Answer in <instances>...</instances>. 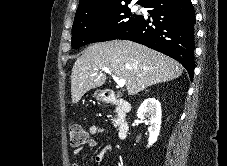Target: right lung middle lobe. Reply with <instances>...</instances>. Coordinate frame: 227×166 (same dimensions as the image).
I'll return each mask as SVG.
<instances>
[{
	"label": "right lung middle lobe",
	"mask_w": 227,
	"mask_h": 166,
	"mask_svg": "<svg viewBox=\"0 0 227 166\" xmlns=\"http://www.w3.org/2000/svg\"><path fill=\"white\" fill-rule=\"evenodd\" d=\"M127 5L76 13L72 27V47L78 49L89 43L114 40L136 24L142 15L130 13ZM102 22L106 24L105 27L100 26Z\"/></svg>",
	"instance_id": "1"
}]
</instances>
